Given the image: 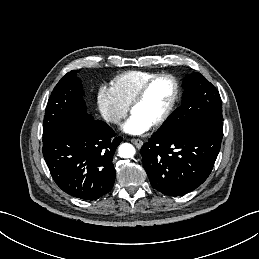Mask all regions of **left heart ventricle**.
I'll return each mask as SVG.
<instances>
[{
	"instance_id": "left-heart-ventricle-1",
	"label": "left heart ventricle",
	"mask_w": 259,
	"mask_h": 259,
	"mask_svg": "<svg viewBox=\"0 0 259 259\" xmlns=\"http://www.w3.org/2000/svg\"><path fill=\"white\" fill-rule=\"evenodd\" d=\"M172 95V82L159 79L149 87L145 97L133 108L132 113L151 125L164 113Z\"/></svg>"
}]
</instances>
